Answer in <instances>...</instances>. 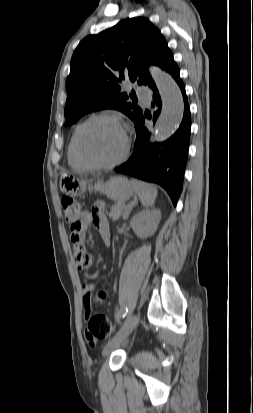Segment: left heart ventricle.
Returning <instances> with one entry per match:
<instances>
[{
  "label": "left heart ventricle",
  "instance_id": "left-heart-ventricle-1",
  "mask_svg": "<svg viewBox=\"0 0 253 413\" xmlns=\"http://www.w3.org/2000/svg\"><path fill=\"white\" fill-rule=\"evenodd\" d=\"M84 154L95 162H111L124 149V135L120 126L112 121L98 120L89 124L81 135Z\"/></svg>",
  "mask_w": 253,
  "mask_h": 413
}]
</instances>
